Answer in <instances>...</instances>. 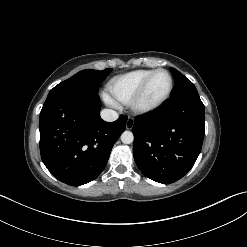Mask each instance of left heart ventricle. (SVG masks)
I'll return each mask as SVG.
<instances>
[{
	"label": "left heart ventricle",
	"instance_id": "b2bd125f",
	"mask_svg": "<svg viewBox=\"0 0 247 247\" xmlns=\"http://www.w3.org/2000/svg\"><path fill=\"white\" fill-rule=\"evenodd\" d=\"M168 86V76L162 72L156 74L149 84L143 102L147 104L156 102L166 93Z\"/></svg>",
	"mask_w": 247,
	"mask_h": 247
}]
</instances>
